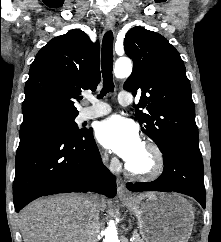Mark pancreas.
I'll return each mask as SVG.
<instances>
[{"instance_id":"1","label":"pancreas","mask_w":221,"mask_h":242,"mask_svg":"<svg viewBox=\"0 0 221 242\" xmlns=\"http://www.w3.org/2000/svg\"><path fill=\"white\" fill-rule=\"evenodd\" d=\"M133 235L135 237L133 242H144L138 233L134 232Z\"/></svg>"}]
</instances>
